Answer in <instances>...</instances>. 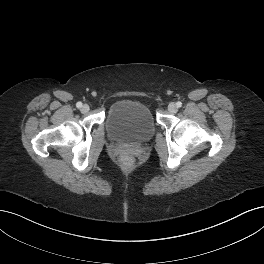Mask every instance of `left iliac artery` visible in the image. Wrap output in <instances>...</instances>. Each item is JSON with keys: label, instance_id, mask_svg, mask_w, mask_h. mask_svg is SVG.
Masks as SVG:
<instances>
[{"label": "left iliac artery", "instance_id": "44dca946", "mask_svg": "<svg viewBox=\"0 0 264 264\" xmlns=\"http://www.w3.org/2000/svg\"><path fill=\"white\" fill-rule=\"evenodd\" d=\"M176 105H177V107H181V106H182V103H181L180 101H178V102L176 103Z\"/></svg>", "mask_w": 264, "mask_h": 264}]
</instances>
